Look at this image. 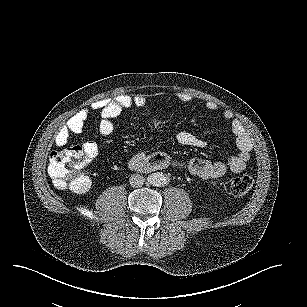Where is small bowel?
I'll list each match as a JSON object with an SVG mask.
<instances>
[{"mask_svg":"<svg viewBox=\"0 0 307 307\" xmlns=\"http://www.w3.org/2000/svg\"><path fill=\"white\" fill-rule=\"evenodd\" d=\"M177 99L181 103L187 104L191 101V96L187 93H179ZM164 100H167V98ZM145 103V97L140 94L133 96L120 95L113 99H102L94 102L92 109L98 111L101 116L99 123L100 134L102 136H109L114 128V120L123 110L131 107H141ZM205 108L211 112H217L219 110L218 106L212 101H207ZM88 116V109H82L73 115L57 133L55 139L56 145L58 147H64L67 145L71 135L81 133ZM220 116L229 126L230 132L235 137L238 152L227 161L211 162L204 159L190 160L184 165V168L194 176L209 179L221 177L227 171L239 173L245 169L247 162L250 160L253 145L243 125L234 117L230 110L221 111ZM176 137L177 141L182 145L198 148L206 146V142L202 138L185 130L179 131ZM82 149L88 163L96 158L99 151L98 145L94 141L84 143ZM171 164V159L163 153L147 155L144 152H140L134 155L129 161V166L136 170L163 169Z\"/></svg>","mask_w":307,"mask_h":307,"instance_id":"c3829d8e","label":"small bowel"}]
</instances>
